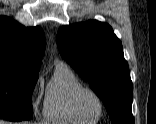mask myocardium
<instances>
[{
	"instance_id": "myocardium-1",
	"label": "myocardium",
	"mask_w": 156,
	"mask_h": 124,
	"mask_svg": "<svg viewBox=\"0 0 156 124\" xmlns=\"http://www.w3.org/2000/svg\"><path fill=\"white\" fill-rule=\"evenodd\" d=\"M85 93L91 94L99 102L100 112H99V115L96 118H94V119L99 120L102 117L103 113H104L105 103H104V100L101 97V95L99 93H97L94 89L90 88V87L81 86V87H79L78 89H76L74 91V93L72 95V106H73V109H74L75 113L82 119H88V117L81 110V107H80V98Z\"/></svg>"
}]
</instances>
